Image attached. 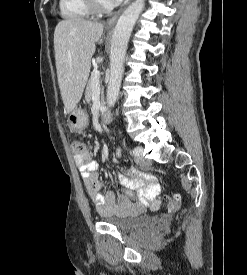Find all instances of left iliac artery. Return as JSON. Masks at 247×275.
Masks as SVG:
<instances>
[{
  "label": "left iliac artery",
  "mask_w": 247,
  "mask_h": 275,
  "mask_svg": "<svg viewBox=\"0 0 247 275\" xmlns=\"http://www.w3.org/2000/svg\"><path fill=\"white\" fill-rule=\"evenodd\" d=\"M138 153V150L136 148L133 149V154L136 156V154Z\"/></svg>",
  "instance_id": "obj_1"
}]
</instances>
